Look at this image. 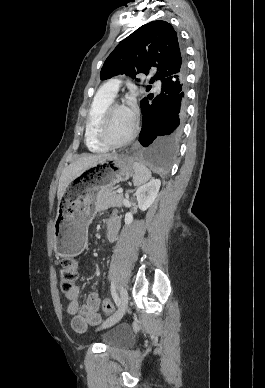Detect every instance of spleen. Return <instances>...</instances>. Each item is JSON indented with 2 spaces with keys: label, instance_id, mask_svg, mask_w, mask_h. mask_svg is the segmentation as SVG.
Returning a JSON list of instances; mask_svg holds the SVG:
<instances>
[{
  "label": "spleen",
  "instance_id": "3e777b00",
  "mask_svg": "<svg viewBox=\"0 0 265 388\" xmlns=\"http://www.w3.org/2000/svg\"><path fill=\"white\" fill-rule=\"evenodd\" d=\"M134 176H133V184L134 186H142V184H146L148 180L151 178V172L144 166V164H140V162H134Z\"/></svg>",
  "mask_w": 265,
  "mask_h": 388
}]
</instances>
